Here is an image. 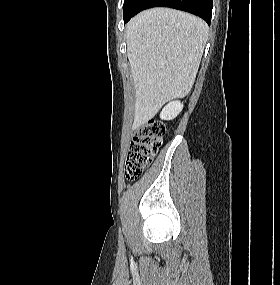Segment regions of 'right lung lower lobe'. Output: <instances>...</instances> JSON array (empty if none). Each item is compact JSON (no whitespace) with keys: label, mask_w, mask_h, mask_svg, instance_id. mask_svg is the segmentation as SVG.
Instances as JSON below:
<instances>
[{"label":"right lung lower lobe","mask_w":280,"mask_h":285,"mask_svg":"<svg viewBox=\"0 0 280 285\" xmlns=\"http://www.w3.org/2000/svg\"><path fill=\"white\" fill-rule=\"evenodd\" d=\"M157 6L190 12L203 18L210 25L213 0H139L133 12L123 18L124 22H128L134 15L142 10Z\"/></svg>","instance_id":"obj_1"}]
</instances>
